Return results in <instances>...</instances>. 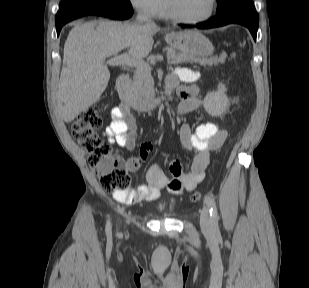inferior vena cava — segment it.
<instances>
[{"label": "inferior vena cava", "instance_id": "602c4592", "mask_svg": "<svg viewBox=\"0 0 309 288\" xmlns=\"http://www.w3.org/2000/svg\"><path fill=\"white\" fill-rule=\"evenodd\" d=\"M138 24H144L146 26H155V23L147 16L142 13H138L136 17Z\"/></svg>", "mask_w": 309, "mask_h": 288}]
</instances>
